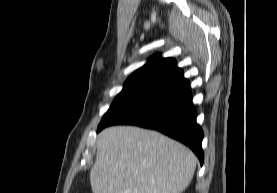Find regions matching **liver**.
Segmentation results:
<instances>
[{
    "mask_svg": "<svg viewBox=\"0 0 277 193\" xmlns=\"http://www.w3.org/2000/svg\"><path fill=\"white\" fill-rule=\"evenodd\" d=\"M96 147L93 193H181L196 169V156L183 144L138 127L106 128Z\"/></svg>",
    "mask_w": 277,
    "mask_h": 193,
    "instance_id": "obj_1",
    "label": "liver"
}]
</instances>
